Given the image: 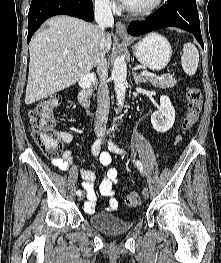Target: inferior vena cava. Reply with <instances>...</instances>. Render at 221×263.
I'll return each mask as SVG.
<instances>
[{
    "label": "inferior vena cava",
    "mask_w": 221,
    "mask_h": 263,
    "mask_svg": "<svg viewBox=\"0 0 221 263\" xmlns=\"http://www.w3.org/2000/svg\"><path fill=\"white\" fill-rule=\"evenodd\" d=\"M94 15L101 33L99 53L97 54L95 61L97 73L100 77V85L97 94V110L94 131L98 137H104L110 104L109 89L106 84L107 62L105 59L104 38L105 28L113 27L114 25V18L109 0H95Z\"/></svg>",
    "instance_id": "obj_1"
}]
</instances>
